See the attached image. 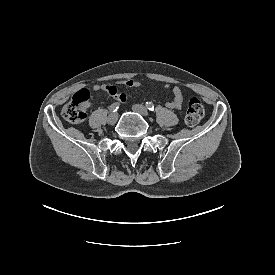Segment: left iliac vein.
I'll return each mask as SVG.
<instances>
[{"label":"left iliac vein","instance_id":"left-iliac-vein-1","mask_svg":"<svg viewBox=\"0 0 275 275\" xmlns=\"http://www.w3.org/2000/svg\"><path fill=\"white\" fill-rule=\"evenodd\" d=\"M132 109H133V111L141 114L143 117H146V118L149 117V113H148L147 109L140 104L133 105Z\"/></svg>","mask_w":275,"mask_h":275}]
</instances>
